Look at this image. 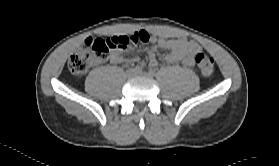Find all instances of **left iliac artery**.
<instances>
[{
  "mask_svg": "<svg viewBox=\"0 0 279 166\" xmlns=\"http://www.w3.org/2000/svg\"><path fill=\"white\" fill-rule=\"evenodd\" d=\"M148 73H149V75L154 76L155 75V70L149 69Z\"/></svg>",
  "mask_w": 279,
  "mask_h": 166,
  "instance_id": "1",
  "label": "left iliac artery"
}]
</instances>
